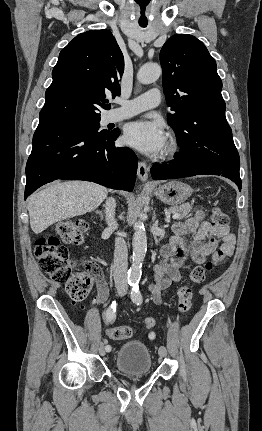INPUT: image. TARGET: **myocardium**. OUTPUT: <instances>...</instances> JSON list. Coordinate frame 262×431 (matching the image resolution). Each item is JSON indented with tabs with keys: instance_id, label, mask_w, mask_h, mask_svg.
I'll list each match as a JSON object with an SVG mask.
<instances>
[{
	"instance_id": "1",
	"label": "myocardium",
	"mask_w": 262,
	"mask_h": 431,
	"mask_svg": "<svg viewBox=\"0 0 262 431\" xmlns=\"http://www.w3.org/2000/svg\"><path fill=\"white\" fill-rule=\"evenodd\" d=\"M180 152H181V145L179 141L175 137H171L165 149L164 157L167 159H173L177 157Z\"/></svg>"
}]
</instances>
